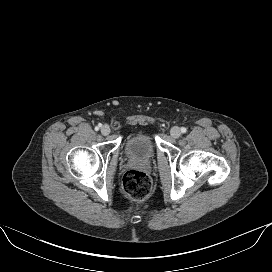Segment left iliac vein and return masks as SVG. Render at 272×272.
<instances>
[{
	"label": "left iliac vein",
	"mask_w": 272,
	"mask_h": 272,
	"mask_svg": "<svg viewBox=\"0 0 272 272\" xmlns=\"http://www.w3.org/2000/svg\"><path fill=\"white\" fill-rule=\"evenodd\" d=\"M170 134L173 138H178L181 135V130L179 127L175 126L170 130Z\"/></svg>",
	"instance_id": "left-iliac-vein-1"
}]
</instances>
